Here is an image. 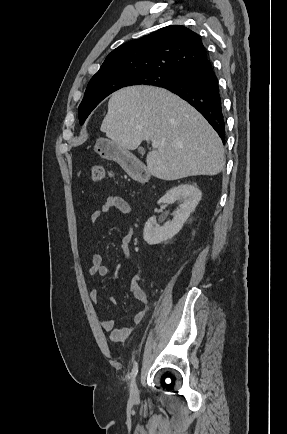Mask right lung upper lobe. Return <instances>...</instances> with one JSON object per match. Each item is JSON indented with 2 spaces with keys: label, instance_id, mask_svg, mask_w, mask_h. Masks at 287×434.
<instances>
[{
  "label": "right lung upper lobe",
  "instance_id": "1",
  "mask_svg": "<svg viewBox=\"0 0 287 434\" xmlns=\"http://www.w3.org/2000/svg\"><path fill=\"white\" fill-rule=\"evenodd\" d=\"M207 59L198 34L171 25L113 50L90 81L159 72L180 75Z\"/></svg>",
  "mask_w": 287,
  "mask_h": 434
}]
</instances>
